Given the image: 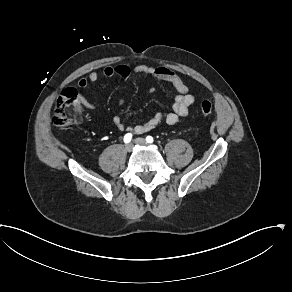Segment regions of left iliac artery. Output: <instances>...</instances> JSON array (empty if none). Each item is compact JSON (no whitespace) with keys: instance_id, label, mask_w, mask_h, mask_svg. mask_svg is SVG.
<instances>
[{"instance_id":"1","label":"left iliac artery","mask_w":292,"mask_h":292,"mask_svg":"<svg viewBox=\"0 0 292 292\" xmlns=\"http://www.w3.org/2000/svg\"><path fill=\"white\" fill-rule=\"evenodd\" d=\"M146 141H147L148 143H153L154 139H153L152 136H147V137H146Z\"/></svg>"}]
</instances>
